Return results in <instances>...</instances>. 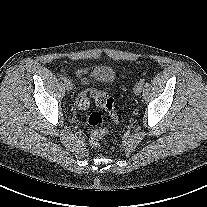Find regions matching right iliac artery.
Segmentation results:
<instances>
[{
	"label": "right iliac artery",
	"instance_id": "1",
	"mask_svg": "<svg viewBox=\"0 0 207 207\" xmlns=\"http://www.w3.org/2000/svg\"><path fill=\"white\" fill-rule=\"evenodd\" d=\"M61 80H63V81H66L67 80V78H66V76H64V75H61Z\"/></svg>",
	"mask_w": 207,
	"mask_h": 207
}]
</instances>
